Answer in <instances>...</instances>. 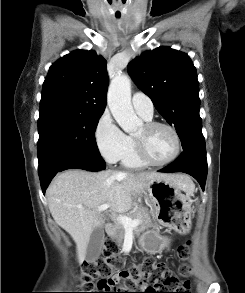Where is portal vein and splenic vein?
Here are the masks:
<instances>
[{
  "instance_id": "portal-vein-and-splenic-vein-1",
  "label": "portal vein and splenic vein",
  "mask_w": 245,
  "mask_h": 293,
  "mask_svg": "<svg viewBox=\"0 0 245 293\" xmlns=\"http://www.w3.org/2000/svg\"><path fill=\"white\" fill-rule=\"evenodd\" d=\"M109 207H110L109 204H103L97 208V211L102 212V211H105L106 209H108ZM116 219L118 222H120L123 225L125 230H133L134 228H136L140 224L139 219H131L128 216L119 215L116 217Z\"/></svg>"
}]
</instances>
